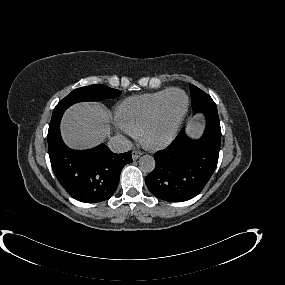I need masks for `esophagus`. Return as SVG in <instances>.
<instances>
[{
    "mask_svg": "<svg viewBox=\"0 0 285 285\" xmlns=\"http://www.w3.org/2000/svg\"><path fill=\"white\" fill-rule=\"evenodd\" d=\"M141 155H142V151H140V150H133L132 151L133 160H137Z\"/></svg>",
    "mask_w": 285,
    "mask_h": 285,
    "instance_id": "obj_1",
    "label": "esophagus"
}]
</instances>
